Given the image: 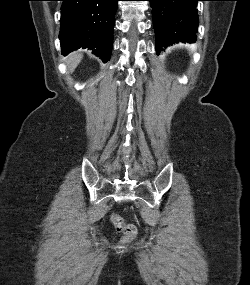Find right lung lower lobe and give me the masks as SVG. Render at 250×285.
I'll return each instance as SVG.
<instances>
[{
  "label": "right lung lower lobe",
  "mask_w": 250,
  "mask_h": 285,
  "mask_svg": "<svg viewBox=\"0 0 250 285\" xmlns=\"http://www.w3.org/2000/svg\"><path fill=\"white\" fill-rule=\"evenodd\" d=\"M62 54L88 48L107 62L113 44L118 0H61Z\"/></svg>",
  "instance_id": "98d812e1"
}]
</instances>
